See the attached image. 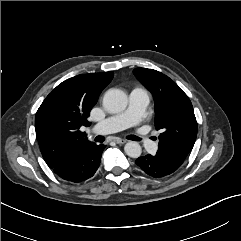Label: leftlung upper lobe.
Segmentation results:
<instances>
[{
    "mask_svg": "<svg viewBox=\"0 0 241 241\" xmlns=\"http://www.w3.org/2000/svg\"><path fill=\"white\" fill-rule=\"evenodd\" d=\"M155 101V127L161 130L156 157L180 167L197 137V122L188 96L169 77L147 68L134 70Z\"/></svg>",
    "mask_w": 241,
    "mask_h": 241,
    "instance_id": "5c2ea615",
    "label": "left lung upper lobe"
}]
</instances>
